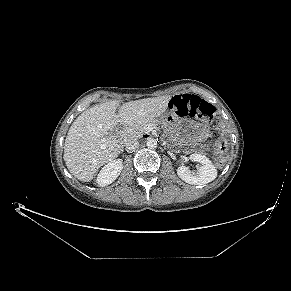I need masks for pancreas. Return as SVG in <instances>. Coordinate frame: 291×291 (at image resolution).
<instances>
[{
  "mask_svg": "<svg viewBox=\"0 0 291 291\" xmlns=\"http://www.w3.org/2000/svg\"><path fill=\"white\" fill-rule=\"evenodd\" d=\"M157 124H158L157 120H149V121H143L140 123H135L129 127H126L124 135L128 139L141 138L143 134L146 133V130H145L146 125L156 126Z\"/></svg>",
  "mask_w": 291,
  "mask_h": 291,
  "instance_id": "pancreas-1",
  "label": "pancreas"
}]
</instances>
